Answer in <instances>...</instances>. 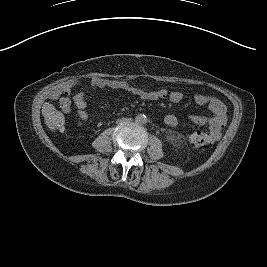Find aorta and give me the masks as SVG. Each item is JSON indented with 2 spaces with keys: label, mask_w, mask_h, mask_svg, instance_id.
<instances>
[{
  "label": "aorta",
  "mask_w": 267,
  "mask_h": 267,
  "mask_svg": "<svg viewBox=\"0 0 267 267\" xmlns=\"http://www.w3.org/2000/svg\"><path fill=\"white\" fill-rule=\"evenodd\" d=\"M135 120L138 124H145L147 122V117L144 114H139L136 116Z\"/></svg>",
  "instance_id": "1"
}]
</instances>
